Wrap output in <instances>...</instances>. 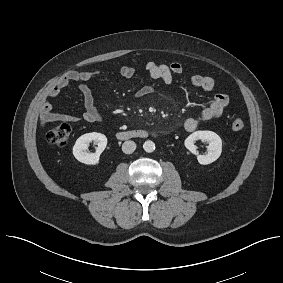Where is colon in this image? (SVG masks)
I'll list each match as a JSON object with an SVG mask.
<instances>
[{
	"mask_svg": "<svg viewBox=\"0 0 283 283\" xmlns=\"http://www.w3.org/2000/svg\"><path fill=\"white\" fill-rule=\"evenodd\" d=\"M244 121L241 118L233 119L231 126L233 130L239 131L244 128ZM71 136V126L68 123H61L47 132V140L56 146H64L67 144Z\"/></svg>",
	"mask_w": 283,
	"mask_h": 283,
	"instance_id": "obj_1",
	"label": "colon"
}]
</instances>
